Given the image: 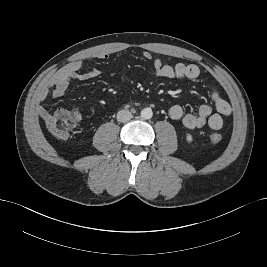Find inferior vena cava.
<instances>
[{
    "label": "inferior vena cava",
    "mask_w": 267,
    "mask_h": 267,
    "mask_svg": "<svg viewBox=\"0 0 267 267\" xmlns=\"http://www.w3.org/2000/svg\"><path fill=\"white\" fill-rule=\"evenodd\" d=\"M132 118V114L129 110L123 109L117 113V121L126 122Z\"/></svg>",
    "instance_id": "inferior-vena-cava-1"
}]
</instances>
